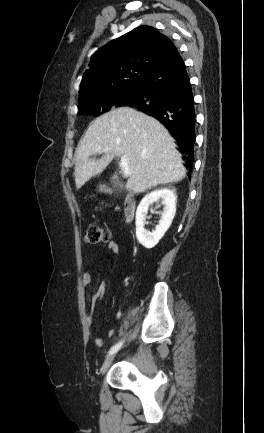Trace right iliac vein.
Masks as SVG:
<instances>
[{"label": "right iliac vein", "mask_w": 264, "mask_h": 433, "mask_svg": "<svg viewBox=\"0 0 264 433\" xmlns=\"http://www.w3.org/2000/svg\"><path fill=\"white\" fill-rule=\"evenodd\" d=\"M114 358H115V353L109 355V356L105 359V361H104V363H103V365H102V367H101V370H100L101 374H104V373L109 369V367L111 366V364H112Z\"/></svg>", "instance_id": "obj_1"}]
</instances>
